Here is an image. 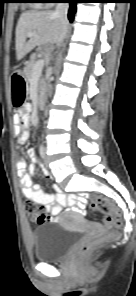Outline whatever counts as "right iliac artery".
Listing matches in <instances>:
<instances>
[{"instance_id": "obj_1", "label": "right iliac artery", "mask_w": 136, "mask_h": 296, "mask_svg": "<svg viewBox=\"0 0 136 296\" xmlns=\"http://www.w3.org/2000/svg\"><path fill=\"white\" fill-rule=\"evenodd\" d=\"M40 155L43 159L45 158V149L43 146H40Z\"/></svg>"}]
</instances>
